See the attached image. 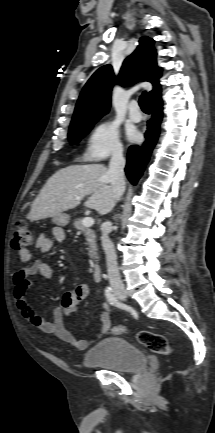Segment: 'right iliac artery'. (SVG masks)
I'll return each mask as SVG.
<instances>
[{
  "mask_svg": "<svg viewBox=\"0 0 215 433\" xmlns=\"http://www.w3.org/2000/svg\"><path fill=\"white\" fill-rule=\"evenodd\" d=\"M105 296H106L107 301L111 305H114V306H118L119 305V302H118L117 298L115 297V294H114L113 290L110 287H107L105 289Z\"/></svg>",
  "mask_w": 215,
  "mask_h": 433,
  "instance_id": "obj_1",
  "label": "right iliac artery"
}]
</instances>
